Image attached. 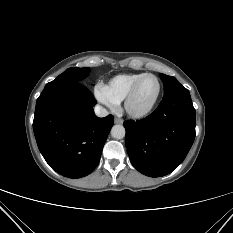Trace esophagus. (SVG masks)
Here are the masks:
<instances>
[{
	"label": "esophagus",
	"instance_id": "1",
	"mask_svg": "<svg viewBox=\"0 0 233 233\" xmlns=\"http://www.w3.org/2000/svg\"><path fill=\"white\" fill-rule=\"evenodd\" d=\"M114 123H115V124H122V123H123V120L120 119V118H115V119H114Z\"/></svg>",
	"mask_w": 233,
	"mask_h": 233
}]
</instances>
